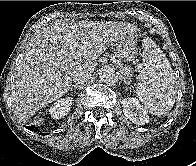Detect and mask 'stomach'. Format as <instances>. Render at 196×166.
<instances>
[{
    "label": "stomach",
    "mask_w": 196,
    "mask_h": 166,
    "mask_svg": "<svg viewBox=\"0 0 196 166\" xmlns=\"http://www.w3.org/2000/svg\"><path fill=\"white\" fill-rule=\"evenodd\" d=\"M116 55L124 60L131 61L138 53L137 37L134 33L127 34L116 43Z\"/></svg>",
    "instance_id": "obj_1"
}]
</instances>
